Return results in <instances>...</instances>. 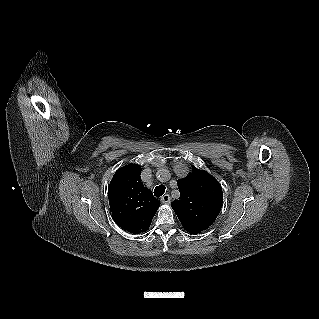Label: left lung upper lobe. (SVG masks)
I'll list each match as a JSON object with an SVG mask.
<instances>
[{"instance_id":"left-lung-upper-lobe-1","label":"left lung upper lobe","mask_w":319,"mask_h":319,"mask_svg":"<svg viewBox=\"0 0 319 319\" xmlns=\"http://www.w3.org/2000/svg\"><path fill=\"white\" fill-rule=\"evenodd\" d=\"M178 188L181 197L172 202V208L182 226L192 234L206 230L221 210V185L206 171L194 169L178 180Z\"/></svg>"}]
</instances>
